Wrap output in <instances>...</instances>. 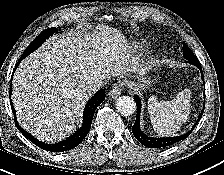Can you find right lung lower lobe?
<instances>
[{
    "mask_svg": "<svg viewBox=\"0 0 224 175\" xmlns=\"http://www.w3.org/2000/svg\"><path fill=\"white\" fill-rule=\"evenodd\" d=\"M28 54H23L19 60V62L16 64L14 71L16 70L17 66L19 65V63L21 62V60H23L25 57H27ZM13 76V74H12ZM10 87H12V84L10 85ZM105 91L104 90H99L86 104L85 108H84V114H83V124L80 127V129L78 131H76L73 135H71L69 138H67L64 141H61L59 143H55V144H46L44 142H41L39 140H37L36 138H34L30 133L26 132L24 129H22L17 120L15 119V124L17 126V128L20 130V132L26 137L28 138L31 142H33L36 146L40 147L41 149L47 150V151H51V152H63V151H68L70 149L75 148L76 146H78L83 139L86 137V135L88 134V132L90 131L91 128V123H92V119L94 116V112L96 110V108L103 102V100L105 99ZM9 97H10V101H11V88H10V92H9ZM14 117L16 116L15 110L13 108V106L11 105Z\"/></svg>",
    "mask_w": 224,
    "mask_h": 175,
    "instance_id": "right-lung-lower-lobe-1",
    "label": "right lung lower lobe"
}]
</instances>
